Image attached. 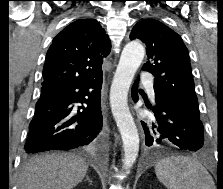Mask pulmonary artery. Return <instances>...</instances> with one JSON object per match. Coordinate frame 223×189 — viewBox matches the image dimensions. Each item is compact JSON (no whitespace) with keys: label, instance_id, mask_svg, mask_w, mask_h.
Masks as SVG:
<instances>
[{"label":"pulmonary artery","instance_id":"1","mask_svg":"<svg viewBox=\"0 0 223 189\" xmlns=\"http://www.w3.org/2000/svg\"><path fill=\"white\" fill-rule=\"evenodd\" d=\"M142 79L144 81H147V87H148V91L150 93L151 96H154V89H153V83L151 81L152 77L149 73H143L142 74Z\"/></svg>","mask_w":223,"mask_h":189}]
</instances>
